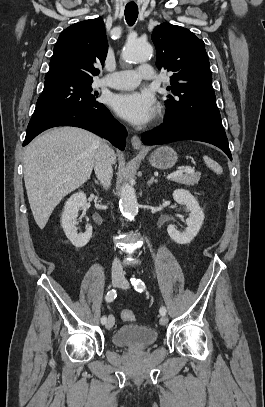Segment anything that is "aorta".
<instances>
[{
    "mask_svg": "<svg viewBox=\"0 0 265 407\" xmlns=\"http://www.w3.org/2000/svg\"><path fill=\"white\" fill-rule=\"evenodd\" d=\"M153 55V47L149 43H143L136 39H128L123 51L122 58L126 62L137 63L149 60ZM120 209L128 217H134L138 212V203L134 188L124 184L120 192Z\"/></svg>",
    "mask_w": 265,
    "mask_h": 407,
    "instance_id": "obj_1",
    "label": "aorta"
}]
</instances>
